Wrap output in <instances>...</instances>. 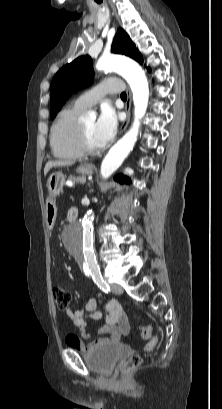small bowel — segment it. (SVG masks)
I'll return each instance as SVG.
<instances>
[{"mask_svg": "<svg viewBox=\"0 0 222 409\" xmlns=\"http://www.w3.org/2000/svg\"><path fill=\"white\" fill-rule=\"evenodd\" d=\"M72 209L68 210L67 216ZM101 298L102 294H98L89 299L81 308L76 310L69 308L66 313L74 325L78 327L82 339H90L95 334L106 336L98 338L89 345L84 344L75 336H69L67 343L71 348L86 352L103 344L118 343L122 337L129 333L128 318L120 302L116 299H111L103 307L98 308V301ZM88 320H103V324L96 331L91 332L88 330Z\"/></svg>", "mask_w": 222, "mask_h": 409, "instance_id": "small-bowel-1", "label": "small bowel"}]
</instances>
